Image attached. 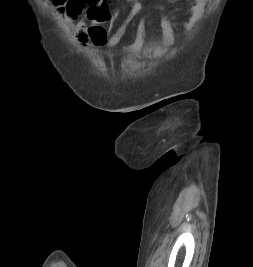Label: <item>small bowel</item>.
<instances>
[{"mask_svg": "<svg viewBox=\"0 0 253 267\" xmlns=\"http://www.w3.org/2000/svg\"><path fill=\"white\" fill-rule=\"evenodd\" d=\"M129 7L128 15L123 24L116 31L108 35L106 45L110 49H120L126 52L139 50L145 41L146 19L142 17L139 21L135 38L132 42L122 44V40L132 20L142 12L143 6L140 0H124ZM208 0H191L190 17L185 21L186 29H191L202 16L204 7ZM57 16L65 22L77 21L76 38L80 44H86L89 40L88 30L90 26L110 24L117 14L109 10L108 0H71L63 7L57 8ZM161 32L164 44H170L174 39V31L169 19L165 14L161 17Z\"/></svg>", "mask_w": 253, "mask_h": 267, "instance_id": "small-bowel-1", "label": "small bowel"}]
</instances>
